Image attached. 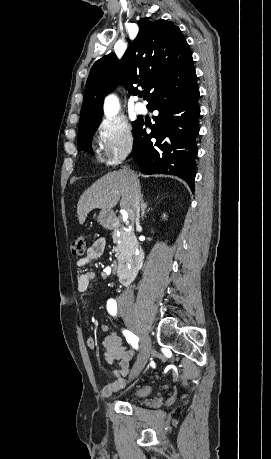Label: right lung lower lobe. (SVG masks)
<instances>
[{"instance_id": "obj_1", "label": "right lung lower lobe", "mask_w": 271, "mask_h": 459, "mask_svg": "<svg viewBox=\"0 0 271 459\" xmlns=\"http://www.w3.org/2000/svg\"><path fill=\"white\" fill-rule=\"evenodd\" d=\"M199 89L195 70L163 85L149 99V111L158 110L150 134L144 121L134 128L131 157L144 174H173L194 191L196 138L199 133Z\"/></svg>"}]
</instances>
